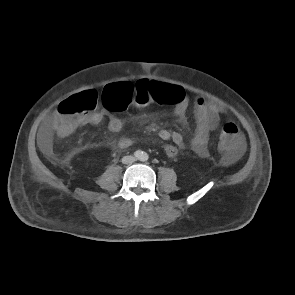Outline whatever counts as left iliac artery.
<instances>
[{
    "instance_id": "1",
    "label": "left iliac artery",
    "mask_w": 295,
    "mask_h": 295,
    "mask_svg": "<svg viewBox=\"0 0 295 295\" xmlns=\"http://www.w3.org/2000/svg\"><path fill=\"white\" fill-rule=\"evenodd\" d=\"M148 159V155L145 153V154H143V156H142V160H147Z\"/></svg>"
}]
</instances>
